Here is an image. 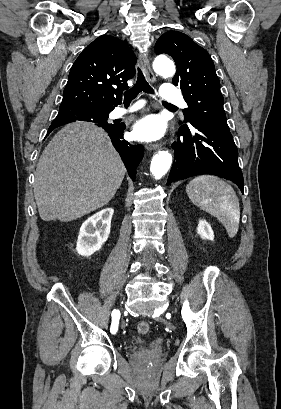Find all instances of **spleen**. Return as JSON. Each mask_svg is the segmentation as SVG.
Here are the masks:
<instances>
[{"instance_id": "1", "label": "spleen", "mask_w": 281, "mask_h": 409, "mask_svg": "<svg viewBox=\"0 0 281 409\" xmlns=\"http://www.w3.org/2000/svg\"><path fill=\"white\" fill-rule=\"evenodd\" d=\"M186 192L196 207L217 217L225 227L228 237H235L240 223L238 196L231 184L218 176L201 174L195 176L186 186Z\"/></svg>"}]
</instances>
